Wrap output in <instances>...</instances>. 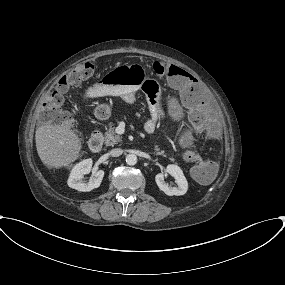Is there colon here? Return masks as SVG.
<instances>
[{"label": "colon", "mask_w": 285, "mask_h": 285, "mask_svg": "<svg viewBox=\"0 0 285 285\" xmlns=\"http://www.w3.org/2000/svg\"><path fill=\"white\" fill-rule=\"evenodd\" d=\"M152 69L157 76L164 77L172 81L177 80L181 75V70L173 65L169 66L161 63H154L152 65ZM94 73L95 67L91 62H82L62 76L41 103V117L46 120L67 119L68 116L64 107L65 93L70 89V87L90 78ZM143 73V67L137 63L122 66L115 71L104 75L102 78V86L113 88L138 82ZM143 91L147 97L151 98H157L159 94L158 86L155 83L146 84L143 87ZM189 99L193 100V97L190 96ZM189 120L198 135L205 125V119L202 111L196 107L191 108L189 110ZM183 159L186 162L195 163L191 172L197 180L209 181L215 175V165L211 162L202 160L194 146L184 153Z\"/></svg>", "instance_id": "1"}]
</instances>
